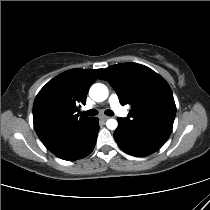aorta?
<instances>
[{"label": "aorta", "instance_id": "1", "mask_svg": "<svg viewBox=\"0 0 210 210\" xmlns=\"http://www.w3.org/2000/svg\"><path fill=\"white\" fill-rule=\"evenodd\" d=\"M90 97L96 102H102L107 99L109 92L108 88L101 83L93 84L89 90ZM106 126L110 130H115L118 126V122L115 119H109L106 122Z\"/></svg>", "mask_w": 210, "mask_h": 210}]
</instances>
